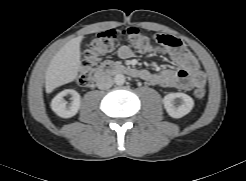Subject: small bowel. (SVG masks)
I'll use <instances>...</instances> for the list:
<instances>
[{"label": "small bowel", "instance_id": "c3829d8e", "mask_svg": "<svg viewBox=\"0 0 246 181\" xmlns=\"http://www.w3.org/2000/svg\"><path fill=\"white\" fill-rule=\"evenodd\" d=\"M166 52L177 68H163L158 72L142 69L140 70L142 80L160 87L184 90L205 85L206 78L199 68L197 59L187 50L182 41L180 48L167 47ZM118 56L122 59H129L133 56V51L129 46L123 45L118 49Z\"/></svg>", "mask_w": 246, "mask_h": 181}]
</instances>
